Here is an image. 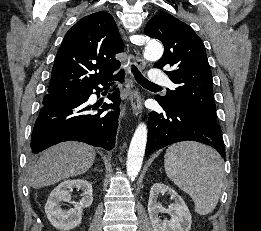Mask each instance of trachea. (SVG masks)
<instances>
[{
    "instance_id": "1",
    "label": "trachea",
    "mask_w": 261,
    "mask_h": 231,
    "mask_svg": "<svg viewBox=\"0 0 261 231\" xmlns=\"http://www.w3.org/2000/svg\"><path fill=\"white\" fill-rule=\"evenodd\" d=\"M132 73L134 74L135 79L137 82L141 85H146V86H154V87H160L152 82H150L148 79H146L137 69L136 66L132 65L131 67Z\"/></svg>"
}]
</instances>
